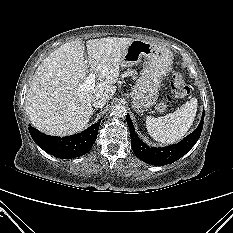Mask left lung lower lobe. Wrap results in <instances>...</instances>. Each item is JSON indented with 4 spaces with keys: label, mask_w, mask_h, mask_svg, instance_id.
I'll return each mask as SVG.
<instances>
[{
    "label": "left lung lower lobe",
    "mask_w": 233,
    "mask_h": 233,
    "mask_svg": "<svg viewBox=\"0 0 233 233\" xmlns=\"http://www.w3.org/2000/svg\"><path fill=\"white\" fill-rule=\"evenodd\" d=\"M126 120L130 129L131 147L134 154L140 160L146 163L161 166L173 163L180 159L195 145L203 129L204 111L202 113V118L198 127L191 134H189L179 143L164 148H154L147 146L135 133V128L128 114Z\"/></svg>",
    "instance_id": "1"
}]
</instances>
